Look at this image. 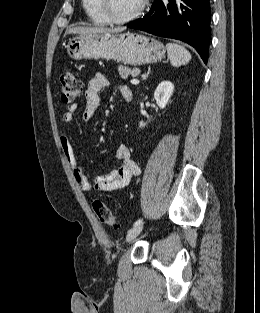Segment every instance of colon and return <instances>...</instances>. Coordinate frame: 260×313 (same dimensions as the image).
Masks as SVG:
<instances>
[{"label":"colon","mask_w":260,"mask_h":313,"mask_svg":"<svg viewBox=\"0 0 260 313\" xmlns=\"http://www.w3.org/2000/svg\"><path fill=\"white\" fill-rule=\"evenodd\" d=\"M61 98L65 103H71L78 98L83 91V84L71 69H65L60 75ZM93 210L98 219L109 226L116 225L115 218L109 207L101 200H94Z\"/></svg>","instance_id":"5ec220e1"}]
</instances>
